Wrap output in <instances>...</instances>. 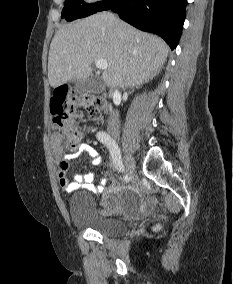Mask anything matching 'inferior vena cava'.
I'll use <instances>...</instances> for the list:
<instances>
[{
  "label": "inferior vena cava",
  "mask_w": 233,
  "mask_h": 284,
  "mask_svg": "<svg viewBox=\"0 0 233 284\" xmlns=\"http://www.w3.org/2000/svg\"><path fill=\"white\" fill-rule=\"evenodd\" d=\"M109 124L111 127H115V126L118 127V124H119L118 113L113 112V115L111 117V122Z\"/></svg>",
  "instance_id": "1"
}]
</instances>
